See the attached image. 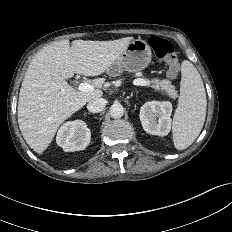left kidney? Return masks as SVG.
<instances>
[{"instance_id": "5707ae66", "label": "left kidney", "mask_w": 232, "mask_h": 232, "mask_svg": "<svg viewBox=\"0 0 232 232\" xmlns=\"http://www.w3.org/2000/svg\"><path fill=\"white\" fill-rule=\"evenodd\" d=\"M172 104L168 101H149L140 109L143 129L152 135L166 136L171 129Z\"/></svg>"}]
</instances>
